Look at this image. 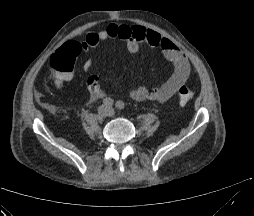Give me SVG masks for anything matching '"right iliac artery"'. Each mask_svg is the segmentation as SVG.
I'll list each match as a JSON object with an SVG mask.
<instances>
[{
	"label": "right iliac artery",
	"mask_w": 254,
	"mask_h": 216,
	"mask_svg": "<svg viewBox=\"0 0 254 216\" xmlns=\"http://www.w3.org/2000/svg\"><path fill=\"white\" fill-rule=\"evenodd\" d=\"M103 103L106 106H112L114 101L111 98H105V99H103Z\"/></svg>",
	"instance_id": "1"
}]
</instances>
